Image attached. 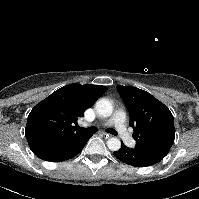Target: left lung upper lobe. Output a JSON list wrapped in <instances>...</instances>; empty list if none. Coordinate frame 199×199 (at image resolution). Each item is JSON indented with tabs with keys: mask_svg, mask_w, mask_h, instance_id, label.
I'll return each mask as SVG.
<instances>
[{
	"mask_svg": "<svg viewBox=\"0 0 199 199\" xmlns=\"http://www.w3.org/2000/svg\"><path fill=\"white\" fill-rule=\"evenodd\" d=\"M117 90L130 113L136 148L164 158L175 139L173 115L150 93L127 86Z\"/></svg>",
	"mask_w": 199,
	"mask_h": 199,
	"instance_id": "obj_1",
	"label": "left lung upper lobe"
}]
</instances>
